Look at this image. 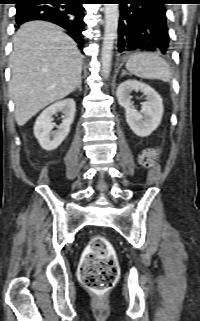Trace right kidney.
I'll list each match as a JSON object with an SVG mask.
<instances>
[{"label":"right kidney","mask_w":200,"mask_h":321,"mask_svg":"<svg viewBox=\"0 0 200 321\" xmlns=\"http://www.w3.org/2000/svg\"><path fill=\"white\" fill-rule=\"evenodd\" d=\"M76 111L75 101L71 98L58 101L47 107L37 118L34 125V135L38 139L41 147L47 151L56 149L70 132ZM57 112H62L63 121L53 131L54 123L52 116Z\"/></svg>","instance_id":"right-kidney-1"}]
</instances>
